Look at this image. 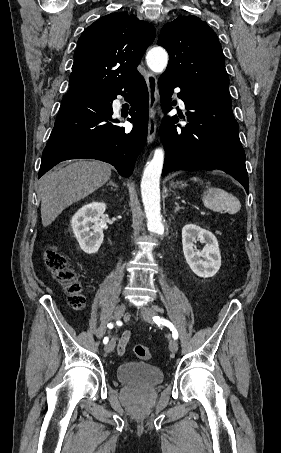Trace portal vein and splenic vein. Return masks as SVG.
Here are the masks:
<instances>
[{
    "instance_id": "portal-vein-and-splenic-vein-1",
    "label": "portal vein and splenic vein",
    "mask_w": 281,
    "mask_h": 453,
    "mask_svg": "<svg viewBox=\"0 0 281 453\" xmlns=\"http://www.w3.org/2000/svg\"><path fill=\"white\" fill-rule=\"evenodd\" d=\"M195 210H196V211H199V208H196ZM218 212H219V213H221L222 211H221V210H219ZM200 213H201V215H204V212H203V210H200ZM221 214L223 215L224 213L222 212Z\"/></svg>"
}]
</instances>
